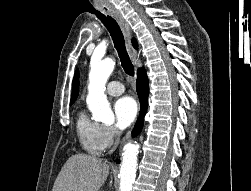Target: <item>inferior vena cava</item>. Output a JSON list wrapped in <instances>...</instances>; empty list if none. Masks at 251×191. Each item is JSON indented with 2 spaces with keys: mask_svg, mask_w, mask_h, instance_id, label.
I'll use <instances>...</instances> for the list:
<instances>
[{
  "mask_svg": "<svg viewBox=\"0 0 251 191\" xmlns=\"http://www.w3.org/2000/svg\"><path fill=\"white\" fill-rule=\"evenodd\" d=\"M114 135H115L114 145H113L112 149H110L109 153H113V151H115L117 145H119L121 131H119V129H117V127H115V129H114Z\"/></svg>",
  "mask_w": 251,
  "mask_h": 191,
  "instance_id": "inferior-vena-cava-1",
  "label": "inferior vena cava"
}]
</instances>
